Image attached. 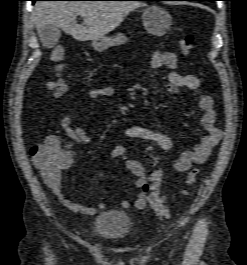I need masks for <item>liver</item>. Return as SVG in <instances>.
Instances as JSON below:
<instances>
[{"instance_id":"1","label":"liver","mask_w":247,"mask_h":265,"mask_svg":"<svg viewBox=\"0 0 247 265\" xmlns=\"http://www.w3.org/2000/svg\"><path fill=\"white\" fill-rule=\"evenodd\" d=\"M145 4L137 1H38L32 18L38 33L53 24L77 41L98 40L117 28L134 9ZM84 19L83 25L76 17Z\"/></svg>"}]
</instances>
